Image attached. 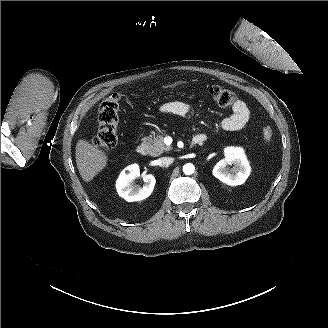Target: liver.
I'll list each match as a JSON object with an SVG mask.
<instances>
[{
    "mask_svg": "<svg viewBox=\"0 0 328 328\" xmlns=\"http://www.w3.org/2000/svg\"><path fill=\"white\" fill-rule=\"evenodd\" d=\"M107 156L85 140L76 144V164L85 182L91 181L107 164Z\"/></svg>",
    "mask_w": 328,
    "mask_h": 328,
    "instance_id": "6515ba94",
    "label": "liver"
}]
</instances>
